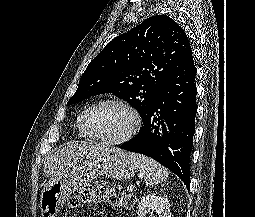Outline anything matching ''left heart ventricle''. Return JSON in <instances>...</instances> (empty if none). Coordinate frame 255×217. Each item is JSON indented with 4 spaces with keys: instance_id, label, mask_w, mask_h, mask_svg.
<instances>
[{
    "instance_id": "left-heart-ventricle-1",
    "label": "left heart ventricle",
    "mask_w": 255,
    "mask_h": 217,
    "mask_svg": "<svg viewBox=\"0 0 255 217\" xmlns=\"http://www.w3.org/2000/svg\"><path fill=\"white\" fill-rule=\"evenodd\" d=\"M92 131L105 139L123 136L132 124L130 113L115 104H104L94 108L89 116Z\"/></svg>"
}]
</instances>
